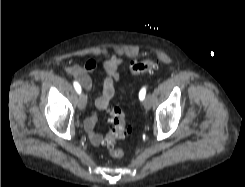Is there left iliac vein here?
Listing matches in <instances>:
<instances>
[{
  "label": "left iliac vein",
  "mask_w": 245,
  "mask_h": 187,
  "mask_svg": "<svg viewBox=\"0 0 245 187\" xmlns=\"http://www.w3.org/2000/svg\"><path fill=\"white\" fill-rule=\"evenodd\" d=\"M143 106L146 110H149L151 107V99L149 97H147L144 102H143Z\"/></svg>",
  "instance_id": "4c4485c4"
}]
</instances>
